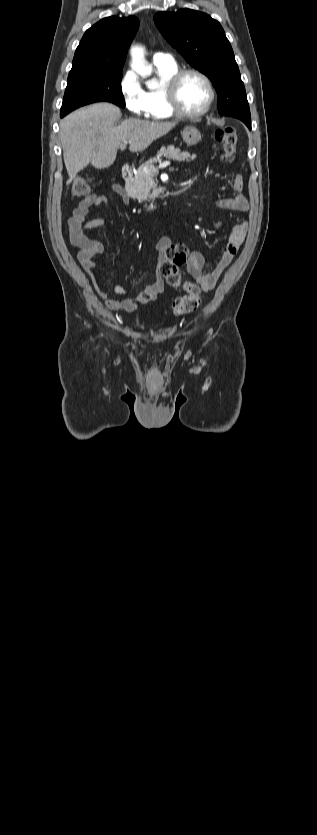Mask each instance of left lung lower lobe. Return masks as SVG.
Instances as JSON below:
<instances>
[{
	"instance_id": "1",
	"label": "left lung lower lobe",
	"mask_w": 317,
	"mask_h": 835,
	"mask_svg": "<svg viewBox=\"0 0 317 835\" xmlns=\"http://www.w3.org/2000/svg\"><path fill=\"white\" fill-rule=\"evenodd\" d=\"M243 122L246 124V126H247L249 129H251V120H244Z\"/></svg>"
}]
</instances>
